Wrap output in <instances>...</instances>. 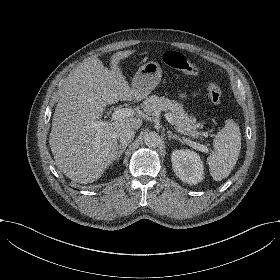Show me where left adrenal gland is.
<instances>
[{
    "label": "left adrenal gland",
    "instance_id": "left-adrenal-gland-1",
    "mask_svg": "<svg viewBox=\"0 0 280 280\" xmlns=\"http://www.w3.org/2000/svg\"><path fill=\"white\" fill-rule=\"evenodd\" d=\"M167 137L180 140L182 143H184V140L180 136H178L177 134L173 133L171 130H167Z\"/></svg>",
    "mask_w": 280,
    "mask_h": 280
}]
</instances>
